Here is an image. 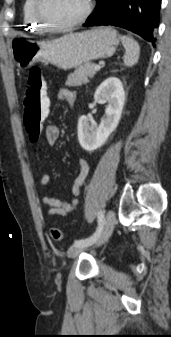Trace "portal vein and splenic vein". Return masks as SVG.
Wrapping results in <instances>:
<instances>
[{
	"instance_id": "obj_1",
	"label": "portal vein and splenic vein",
	"mask_w": 171,
	"mask_h": 337,
	"mask_svg": "<svg viewBox=\"0 0 171 337\" xmlns=\"http://www.w3.org/2000/svg\"><path fill=\"white\" fill-rule=\"evenodd\" d=\"M100 68H101V67H100L99 65H95V66H94V70H96V71H99Z\"/></svg>"
}]
</instances>
